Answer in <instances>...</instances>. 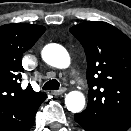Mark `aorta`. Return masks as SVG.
Returning a JSON list of instances; mask_svg holds the SVG:
<instances>
[{
    "mask_svg": "<svg viewBox=\"0 0 131 131\" xmlns=\"http://www.w3.org/2000/svg\"><path fill=\"white\" fill-rule=\"evenodd\" d=\"M43 60L56 68H67L70 64L68 52L60 45L49 44L42 51ZM65 105L72 113L80 112L85 106V97L79 91H72L65 97Z\"/></svg>",
    "mask_w": 131,
    "mask_h": 131,
    "instance_id": "1",
    "label": "aorta"
}]
</instances>
